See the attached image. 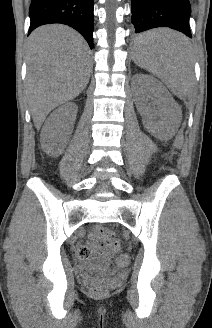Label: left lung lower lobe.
Returning a JSON list of instances; mask_svg holds the SVG:
<instances>
[{"instance_id":"0a47b994","label":"left lung lower lobe","mask_w":212,"mask_h":328,"mask_svg":"<svg viewBox=\"0 0 212 328\" xmlns=\"http://www.w3.org/2000/svg\"><path fill=\"white\" fill-rule=\"evenodd\" d=\"M131 10L135 33L156 27H169L192 37L189 0H132ZM139 37L135 40L136 47L152 45L150 41H141Z\"/></svg>"}]
</instances>
